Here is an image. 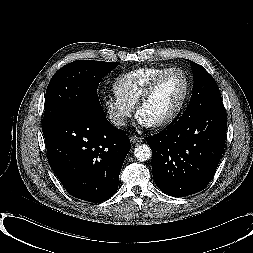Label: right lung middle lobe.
Returning <instances> with one entry per match:
<instances>
[{"label":"right lung middle lobe","instance_id":"obj_1","mask_svg":"<svg viewBox=\"0 0 253 253\" xmlns=\"http://www.w3.org/2000/svg\"><path fill=\"white\" fill-rule=\"evenodd\" d=\"M119 64L77 60L59 69L46 90L43 134L80 108L100 107L98 85Z\"/></svg>","mask_w":253,"mask_h":253}]
</instances>
